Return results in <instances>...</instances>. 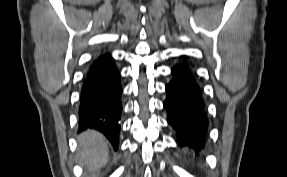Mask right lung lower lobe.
Segmentation results:
<instances>
[{"label": "right lung lower lobe", "instance_id": "1", "mask_svg": "<svg viewBox=\"0 0 287 177\" xmlns=\"http://www.w3.org/2000/svg\"><path fill=\"white\" fill-rule=\"evenodd\" d=\"M122 87L110 54L96 58L84 77L78 113L79 131L102 132L114 149L119 145Z\"/></svg>", "mask_w": 287, "mask_h": 177}]
</instances>
